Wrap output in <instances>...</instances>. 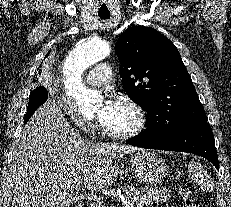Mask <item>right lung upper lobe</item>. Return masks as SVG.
I'll list each match as a JSON object with an SVG mask.
<instances>
[{"label":"right lung upper lobe","mask_w":231,"mask_h":207,"mask_svg":"<svg viewBox=\"0 0 231 207\" xmlns=\"http://www.w3.org/2000/svg\"><path fill=\"white\" fill-rule=\"evenodd\" d=\"M49 53H50V51H49ZM49 53L46 55V57L49 55Z\"/></svg>","instance_id":"cb5924a9"}]
</instances>
